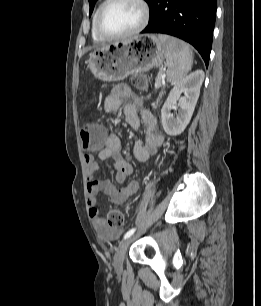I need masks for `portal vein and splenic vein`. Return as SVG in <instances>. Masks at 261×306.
<instances>
[{"label": "portal vein and splenic vein", "mask_w": 261, "mask_h": 306, "mask_svg": "<svg viewBox=\"0 0 261 306\" xmlns=\"http://www.w3.org/2000/svg\"><path fill=\"white\" fill-rule=\"evenodd\" d=\"M163 76H164V75H159V76H158V79H157L156 82H155V87H157V85H158L157 81H158V80L161 81V77L163 78Z\"/></svg>", "instance_id": "1"}]
</instances>
